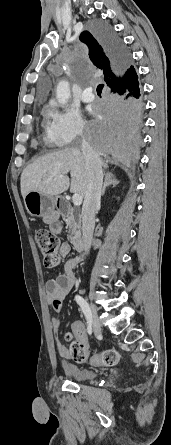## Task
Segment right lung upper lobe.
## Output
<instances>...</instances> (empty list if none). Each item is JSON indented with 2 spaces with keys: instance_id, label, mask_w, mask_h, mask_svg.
Returning <instances> with one entry per match:
<instances>
[{
  "instance_id": "1",
  "label": "right lung upper lobe",
  "mask_w": 171,
  "mask_h": 445,
  "mask_svg": "<svg viewBox=\"0 0 171 445\" xmlns=\"http://www.w3.org/2000/svg\"><path fill=\"white\" fill-rule=\"evenodd\" d=\"M80 40L88 46L89 57L93 64L103 71L104 80L109 89H115L126 77L109 56L99 33L95 32L93 36L88 31H84L80 35ZM126 75L128 79H134L138 76L133 65L130 66Z\"/></svg>"
}]
</instances>
